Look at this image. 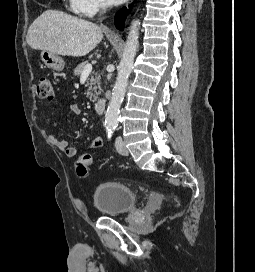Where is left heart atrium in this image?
Masks as SVG:
<instances>
[{
	"instance_id": "left-heart-atrium-1",
	"label": "left heart atrium",
	"mask_w": 255,
	"mask_h": 272,
	"mask_svg": "<svg viewBox=\"0 0 255 272\" xmlns=\"http://www.w3.org/2000/svg\"><path fill=\"white\" fill-rule=\"evenodd\" d=\"M107 1H108V3H110V4L116 5V4L122 3V2L125 1V0H107Z\"/></svg>"
}]
</instances>
